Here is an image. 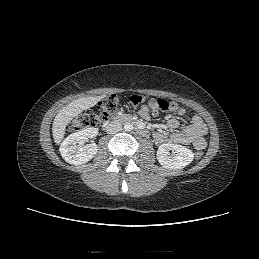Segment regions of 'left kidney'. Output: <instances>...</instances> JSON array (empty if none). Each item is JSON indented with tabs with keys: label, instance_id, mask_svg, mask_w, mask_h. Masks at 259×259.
<instances>
[{
	"label": "left kidney",
	"instance_id": "1",
	"mask_svg": "<svg viewBox=\"0 0 259 259\" xmlns=\"http://www.w3.org/2000/svg\"><path fill=\"white\" fill-rule=\"evenodd\" d=\"M173 152V155L170 154ZM194 159V153L185 146L165 143L159 146L157 160L164 168L169 170L182 169Z\"/></svg>",
	"mask_w": 259,
	"mask_h": 259
}]
</instances>
